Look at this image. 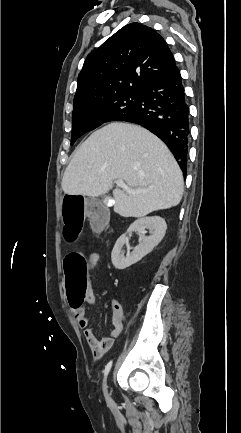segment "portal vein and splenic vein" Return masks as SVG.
Masks as SVG:
<instances>
[{"label":"portal vein and splenic vein","mask_w":241,"mask_h":433,"mask_svg":"<svg viewBox=\"0 0 241 433\" xmlns=\"http://www.w3.org/2000/svg\"><path fill=\"white\" fill-rule=\"evenodd\" d=\"M115 183L118 187L122 188L123 190H125L129 194H135L136 193V191L131 189L129 186H127L122 179H117Z\"/></svg>","instance_id":"1"}]
</instances>
